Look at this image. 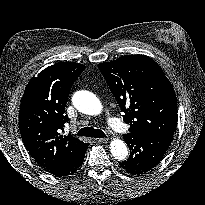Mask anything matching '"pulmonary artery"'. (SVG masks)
<instances>
[{
	"label": "pulmonary artery",
	"instance_id": "obj_1",
	"mask_svg": "<svg viewBox=\"0 0 205 205\" xmlns=\"http://www.w3.org/2000/svg\"><path fill=\"white\" fill-rule=\"evenodd\" d=\"M109 125L114 131H116L118 133H122L124 130V124H122L118 120H110Z\"/></svg>",
	"mask_w": 205,
	"mask_h": 205
}]
</instances>
